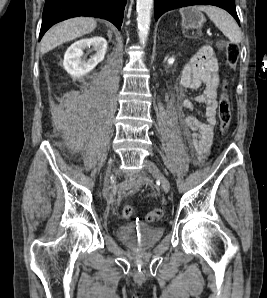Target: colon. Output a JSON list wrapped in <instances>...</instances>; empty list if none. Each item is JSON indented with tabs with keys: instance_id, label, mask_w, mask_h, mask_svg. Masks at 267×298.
Returning <instances> with one entry per match:
<instances>
[{
	"instance_id": "obj_1",
	"label": "colon",
	"mask_w": 267,
	"mask_h": 298,
	"mask_svg": "<svg viewBox=\"0 0 267 298\" xmlns=\"http://www.w3.org/2000/svg\"><path fill=\"white\" fill-rule=\"evenodd\" d=\"M219 48L224 51L227 62L230 66L237 63L239 57V47L237 44L229 41H221L218 44ZM218 117H219V131L225 134L231 122V103L228 94V85L224 83L218 104ZM135 214V208L132 205H125L121 210V215L124 219H130ZM164 212L160 208H155L148 212L145 217V222H153L163 217Z\"/></svg>"
}]
</instances>
